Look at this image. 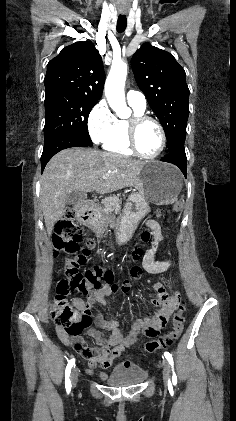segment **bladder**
Masks as SVG:
<instances>
[{
  "label": "bladder",
  "instance_id": "obj_1",
  "mask_svg": "<svg viewBox=\"0 0 236 421\" xmlns=\"http://www.w3.org/2000/svg\"><path fill=\"white\" fill-rule=\"evenodd\" d=\"M147 379V374L140 370L134 361L124 360L115 364L108 373L105 383L111 385L137 384Z\"/></svg>",
  "mask_w": 236,
  "mask_h": 421
}]
</instances>
